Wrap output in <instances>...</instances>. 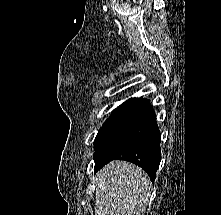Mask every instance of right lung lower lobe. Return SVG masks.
Wrapping results in <instances>:
<instances>
[{
  "mask_svg": "<svg viewBox=\"0 0 221 215\" xmlns=\"http://www.w3.org/2000/svg\"><path fill=\"white\" fill-rule=\"evenodd\" d=\"M160 139L151 104L146 99H136L96 148L95 171L121 159L140 166L154 181L161 161Z\"/></svg>",
  "mask_w": 221,
  "mask_h": 215,
  "instance_id": "98d812e1",
  "label": "right lung lower lobe"
}]
</instances>
